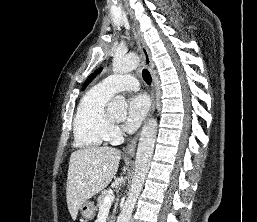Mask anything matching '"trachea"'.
<instances>
[{
    "mask_svg": "<svg viewBox=\"0 0 257 222\" xmlns=\"http://www.w3.org/2000/svg\"><path fill=\"white\" fill-rule=\"evenodd\" d=\"M142 76H143L144 81H145L148 85H150L151 82H152V78H151V75H150V73H149V71H148L147 69H143V71H142Z\"/></svg>",
    "mask_w": 257,
    "mask_h": 222,
    "instance_id": "obj_1",
    "label": "trachea"
}]
</instances>
